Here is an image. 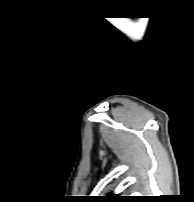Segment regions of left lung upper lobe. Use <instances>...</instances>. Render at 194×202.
I'll use <instances>...</instances> for the list:
<instances>
[{
  "label": "left lung upper lobe",
  "instance_id": "1",
  "mask_svg": "<svg viewBox=\"0 0 194 202\" xmlns=\"http://www.w3.org/2000/svg\"><path fill=\"white\" fill-rule=\"evenodd\" d=\"M105 200H108V201H113V200H120L122 199L123 197L121 196H118V195H108V196H105L103 197Z\"/></svg>",
  "mask_w": 194,
  "mask_h": 202
}]
</instances>
